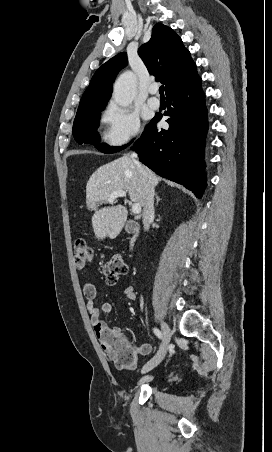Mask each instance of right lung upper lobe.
Masks as SVG:
<instances>
[{"instance_id": "obj_1", "label": "right lung upper lobe", "mask_w": 272, "mask_h": 452, "mask_svg": "<svg viewBox=\"0 0 272 452\" xmlns=\"http://www.w3.org/2000/svg\"><path fill=\"white\" fill-rule=\"evenodd\" d=\"M138 54L149 73L165 84L166 95L198 76L196 65L181 38L161 23L153 27L151 39L139 48ZM127 63L124 52L104 63L93 75L77 113L92 107H105L112 93V83Z\"/></svg>"}]
</instances>
